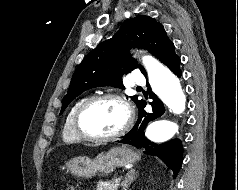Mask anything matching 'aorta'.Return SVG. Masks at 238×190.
Here are the masks:
<instances>
[{
	"label": "aorta",
	"mask_w": 238,
	"mask_h": 190,
	"mask_svg": "<svg viewBox=\"0 0 238 190\" xmlns=\"http://www.w3.org/2000/svg\"><path fill=\"white\" fill-rule=\"evenodd\" d=\"M143 64L147 70L152 91L174 114L185 110L186 96L179 79L156 59L145 56ZM178 130V126L170 119H157L146 130V137L155 143L170 140Z\"/></svg>",
	"instance_id": "762f6f07"
}]
</instances>
